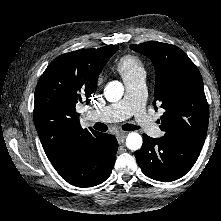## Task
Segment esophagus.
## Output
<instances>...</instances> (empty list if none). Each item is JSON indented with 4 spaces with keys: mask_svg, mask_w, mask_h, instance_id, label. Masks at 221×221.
I'll list each match as a JSON object with an SVG mask.
<instances>
[{
    "mask_svg": "<svg viewBox=\"0 0 221 221\" xmlns=\"http://www.w3.org/2000/svg\"><path fill=\"white\" fill-rule=\"evenodd\" d=\"M117 141L119 144L123 143L125 138H126V133L125 132H119L116 135Z\"/></svg>",
    "mask_w": 221,
    "mask_h": 221,
    "instance_id": "1",
    "label": "esophagus"
}]
</instances>
